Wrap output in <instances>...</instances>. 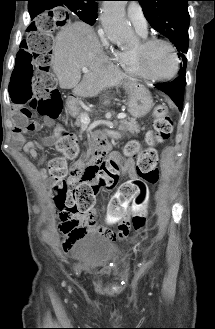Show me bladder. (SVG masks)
I'll list each match as a JSON object with an SVG mask.
<instances>
[{
    "label": "bladder",
    "instance_id": "31cf9c89",
    "mask_svg": "<svg viewBox=\"0 0 215 329\" xmlns=\"http://www.w3.org/2000/svg\"><path fill=\"white\" fill-rule=\"evenodd\" d=\"M78 266L86 273L108 277L110 263L119 262L123 248L108 237L90 232L79 238L72 248Z\"/></svg>",
    "mask_w": 215,
    "mask_h": 329
}]
</instances>
